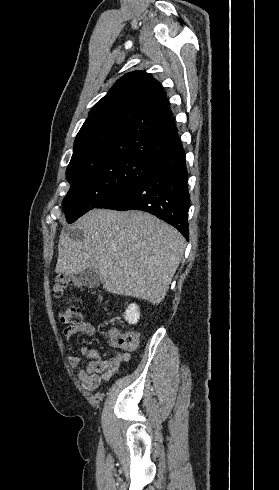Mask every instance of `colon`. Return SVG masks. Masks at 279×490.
Wrapping results in <instances>:
<instances>
[{"label": "colon", "mask_w": 279, "mask_h": 490, "mask_svg": "<svg viewBox=\"0 0 279 490\" xmlns=\"http://www.w3.org/2000/svg\"><path fill=\"white\" fill-rule=\"evenodd\" d=\"M76 277L73 274L60 272L50 283V290L57 298L63 295L64 289L73 284ZM59 320L66 325L72 326L80 322V314L76 307L67 306L57 313ZM104 338H110L112 349H119L123 353L134 350L138 343V333H121V329H104Z\"/></svg>", "instance_id": "obj_1"}]
</instances>
